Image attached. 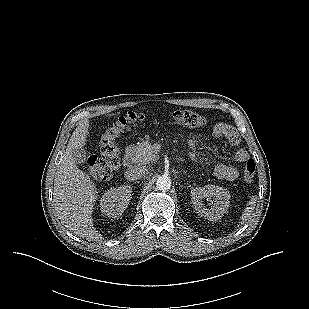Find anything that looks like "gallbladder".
Masks as SVG:
<instances>
[{"label":"gallbladder","instance_id":"bac80fb5","mask_svg":"<svg viewBox=\"0 0 309 309\" xmlns=\"http://www.w3.org/2000/svg\"><path fill=\"white\" fill-rule=\"evenodd\" d=\"M72 156L74 158L75 163L77 164H81L86 161V153L83 148L73 149Z\"/></svg>","mask_w":309,"mask_h":309}]
</instances>
